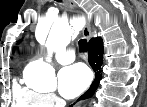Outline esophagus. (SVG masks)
<instances>
[{
    "mask_svg": "<svg viewBox=\"0 0 147 107\" xmlns=\"http://www.w3.org/2000/svg\"><path fill=\"white\" fill-rule=\"evenodd\" d=\"M67 2H68L69 6H70V8L73 12H78L76 3L73 0H67ZM82 34L86 39H90V37H91V27H90L89 19L86 20V22H85V24L82 28Z\"/></svg>",
    "mask_w": 147,
    "mask_h": 107,
    "instance_id": "obj_1",
    "label": "esophagus"
}]
</instances>
